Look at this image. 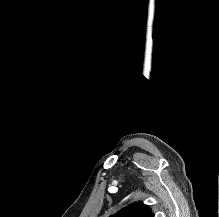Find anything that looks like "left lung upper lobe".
<instances>
[{
	"mask_svg": "<svg viewBox=\"0 0 219 217\" xmlns=\"http://www.w3.org/2000/svg\"><path fill=\"white\" fill-rule=\"evenodd\" d=\"M110 217H154L149 206L142 202L130 204Z\"/></svg>",
	"mask_w": 219,
	"mask_h": 217,
	"instance_id": "5c2ea615",
	"label": "left lung upper lobe"
}]
</instances>
